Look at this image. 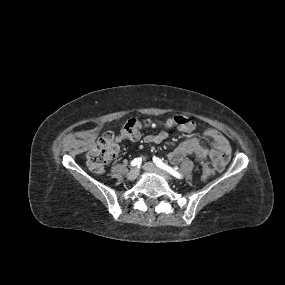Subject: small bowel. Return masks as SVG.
Segmentation results:
<instances>
[{"label": "small bowel", "instance_id": "small-bowel-1", "mask_svg": "<svg viewBox=\"0 0 285 285\" xmlns=\"http://www.w3.org/2000/svg\"><path fill=\"white\" fill-rule=\"evenodd\" d=\"M163 126V130L144 136L143 141L147 144H159L165 141L169 135L168 130L173 126L169 123H165ZM205 136L212 140L210 148L203 146L199 137L192 136L170 151L167 158L174 164L180 163L187 155H194L199 161L209 158L214 162L218 171L223 170L231 153L229 141L214 129H208Z\"/></svg>", "mask_w": 285, "mask_h": 285}]
</instances>
